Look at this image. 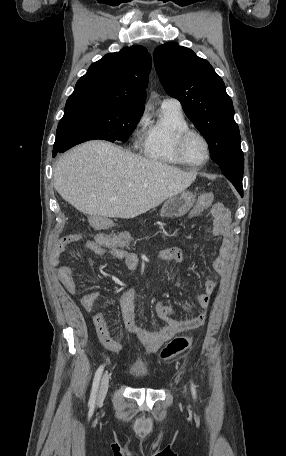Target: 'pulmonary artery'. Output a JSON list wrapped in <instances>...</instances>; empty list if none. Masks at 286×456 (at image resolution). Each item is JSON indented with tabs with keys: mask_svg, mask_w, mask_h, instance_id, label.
Here are the masks:
<instances>
[{
	"mask_svg": "<svg viewBox=\"0 0 286 456\" xmlns=\"http://www.w3.org/2000/svg\"><path fill=\"white\" fill-rule=\"evenodd\" d=\"M162 106L182 110L180 101L172 97L164 98L162 101Z\"/></svg>",
	"mask_w": 286,
	"mask_h": 456,
	"instance_id": "1",
	"label": "pulmonary artery"
}]
</instances>
